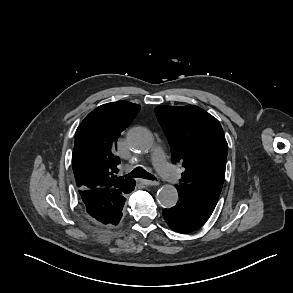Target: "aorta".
Wrapping results in <instances>:
<instances>
[{
    "label": "aorta",
    "mask_w": 293,
    "mask_h": 293,
    "mask_svg": "<svg viewBox=\"0 0 293 293\" xmlns=\"http://www.w3.org/2000/svg\"><path fill=\"white\" fill-rule=\"evenodd\" d=\"M127 141L131 148L140 152L148 151L154 143L150 131L142 127L132 128L128 133ZM157 199L162 207L171 208L178 201L177 189L170 184L163 185L157 193Z\"/></svg>",
    "instance_id": "762f6f07"
}]
</instances>
